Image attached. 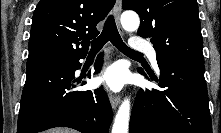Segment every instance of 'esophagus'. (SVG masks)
<instances>
[{"instance_id":"1","label":"esophagus","mask_w":221,"mask_h":133,"mask_svg":"<svg viewBox=\"0 0 221 133\" xmlns=\"http://www.w3.org/2000/svg\"><path fill=\"white\" fill-rule=\"evenodd\" d=\"M121 9H122V1L121 0H116L115 6H114V17L116 20V23L119 27V31L120 33H123V30L120 26V14H121ZM109 100L111 103V106L114 110H116V108L118 107V105L120 104L121 98L119 95H114L112 93H110L109 95Z\"/></svg>"}]
</instances>
